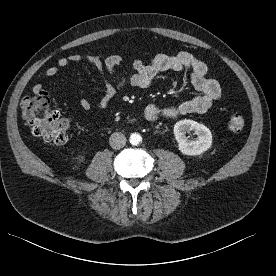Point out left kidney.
Segmentation results:
<instances>
[{
  "instance_id": "left-kidney-1",
  "label": "left kidney",
  "mask_w": 276,
  "mask_h": 276,
  "mask_svg": "<svg viewBox=\"0 0 276 276\" xmlns=\"http://www.w3.org/2000/svg\"><path fill=\"white\" fill-rule=\"evenodd\" d=\"M193 131L197 138L188 139L186 133ZM174 135L178 149L184 155L195 156L207 151L212 145L211 131L203 124L193 120H181L174 125Z\"/></svg>"
}]
</instances>
